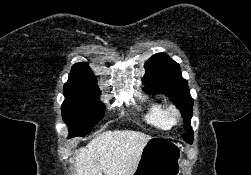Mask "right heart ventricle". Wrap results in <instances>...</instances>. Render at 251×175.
I'll use <instances>...</instances> for the list:
<instances>
[{
    "label": "right heart ventricle",
    "instance_id": "e07e8e85",
    "mask_svg": "<svg viewBox=\"0 0 251 175\" xmlns=\"http://www.w3.org/2000/svg\"><path fill=\"white\" fill-rule=\"evenodd\" d=\"M144 119L148 124L162 131H168L173 128L167 119L166 108L161 102H148L145 106Z\"/></svg>",
    "mask_w": 251,
    "mask_h": 175
}]
</instances>
